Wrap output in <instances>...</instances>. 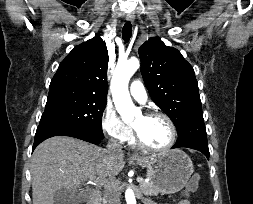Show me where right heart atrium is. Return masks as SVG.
Returning <instances> with one entry per match:
<instances>
[{
    "label": "right heart atrium",
    "mask_w": 253,
    "mask_h": 204,
    "mask_svg": "<svg viewBox=\"0 0 253 204\" xmlns=\"http://www.w3.org/2000/svg\"><path fill=\"white\" fill-rule=\"evenodd\" d=\"M101 127L104 134L117 143H126L133 135L131 126L126 124L111 106H107L103 111Z\"/></svg>",
    "instance_id": "obj_1"
}]
</instances>
